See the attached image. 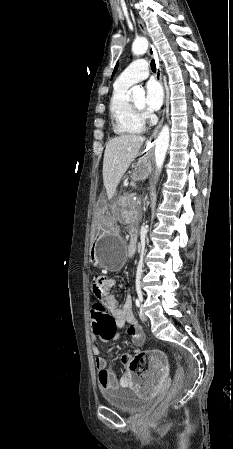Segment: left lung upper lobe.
<instances>
[{
    "instance_id": "left-lung-upper-lobe-1",
    "label": "left lung upper lobe",
    "mask_w": 233,
    "mask_h": 449,
    "mask_svg": "<svg viewBox=\"0 0 233 449\" xmlns=\"http://www.w3.org/2000/svg\"><path fill=\"white\" fill-rule=\"evenodd\" d=\"M117 68H118V64L115 66V68H114V71H113V74H112V77L115 75V73H116V71H117Z\"/></svg>"
}]
</instances>
